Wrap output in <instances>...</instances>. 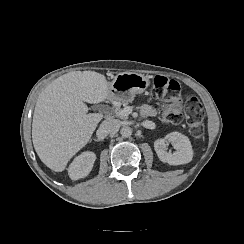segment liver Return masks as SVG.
<instances>
[{"instance_id": "liver-1", "label": "liver", "mask_w": 244, "mask_h": 244, "mask_svg": "<svg viewBox=\"0 0 244 244\" xmlns=\"http://www.w3.org/2000/svg\"><path fill=\"white\" fill-rule=\"evenodd\" d=\"M109 98L106 76L91 70L65 73L42 90L33 113L32 142L45 166L55 172L66 169L103 119L102 114H87L85 103Z\"/></svg>"}]
</instances>
